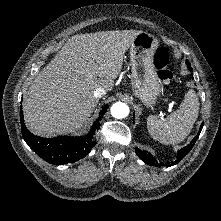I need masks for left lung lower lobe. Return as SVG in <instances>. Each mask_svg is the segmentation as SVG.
I'll use <instances>...</instances> for the list:
<instances>
[{
	"mask_svg": "<svg viewBox=\"0 0 221 221\" xmlns=\"http://www.w3.org/2000/svg\"><path fill=\"white\" fill-rule=\"evenodd\" d=\"M187 66H188V69L190 71H192V68L190 67V63H188ZM202 127H203V124L200 126V130H199L198 134L194 137V139L191 141V143L188 146H186L178 151L177 159L174 161H171L170 163H166L167 167H170V166H173V165L179 163L187 155V153L192 149L193 145L195 144L196 140L198 139L199 134L202 130ZM135 151H136L137 156L141 160H143L146 164L160 167V164L157 163L155 157H153L150 153H148L146 151H142L138 148H136Z\"/></svg>",
	"mask_w": 221,
	"mask_h": 221,
	"instance_id": "1",
	"label": "left lung lower lobe"
}]
</instances>
